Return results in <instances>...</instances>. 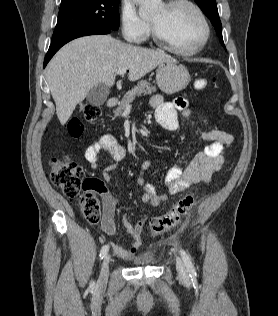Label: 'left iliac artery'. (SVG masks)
Instances as JSON below:
<instances>
[{
	"instance_id": "left-iliac-artery-1",
	"label": "left iliac artery",
	"mask_w": 278,
	"mask_h": 316,
	"mask_svg": "<svg viewBox=\"0 0 278 316\" xmlns=\"http://www.w3.org/2000/svg\"><path fill=\"white\" fill-rule=\"evenodd\" d=\"M180 254L182 256V259L185 263V266L190 274V276L194 277L196 275V272H195V268H194V265L191 261V258L189 257V255L184 251V250H180Z\"/></svg>"
}]
</instances>
